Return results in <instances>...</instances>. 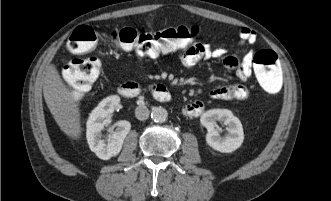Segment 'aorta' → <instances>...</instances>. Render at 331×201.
Instances as JSON below:
<instances>
[{
  "instance_id": "obj_1",
  "label": "aorta",
  "mask_w": 331,
  "mask_h": 201,
  "mask_svg": "<svg viewBox=\"0 0 331 201\" xmlns=\"http://www.w3.org/2000/svg\"><path fill=\"white\" fill-rule=\"evenodd\" d=\"M168 113L163 107H154L151 111V118L155 122H164L167 119Z\"/></svg>"
}]
</instances>
